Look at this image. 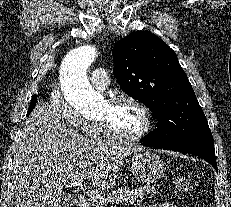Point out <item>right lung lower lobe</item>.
<instances>
[{
    "mask_svg": "<svg viewBox=\"0 0 231 207\" xmlns=\"http://www.w3.org/2000/svg\"><path fill=\"white\" fill-rule=\"evenodd\" d=\"M36 102H37V96L34 95L33 98H32V100H31V104H30V107H29V110H28L27 115H29L30 112L33 110V108H34L35 105H36Z\"/></svg>",
    "mask_w": 231,
    "mask_h": 207,
    "instance_id": "obj_1",
    "label": "right lung lower lobe"
}]
</instances>
